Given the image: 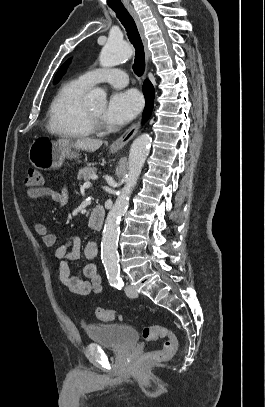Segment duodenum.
Returning a JSON list of instances; mask_svg holds the SVG:
<instances>
[{"label": "duodenum", "instance_id": "1", "mask_svg": "<svg viewBox=\"0 0 265 407\" xmlns=\"http://www.w3.org/2000/svg\"><path fill=\"white\" fill-rule=\"evenodd\" d=\"M105 220V210L101 206H95L89 213L88 225L92 229H100Z\"/></svg>", "mask_w": 265, "mask_h": 407}]
</instances>
